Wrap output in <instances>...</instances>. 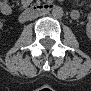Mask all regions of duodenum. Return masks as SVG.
I'll list each match as a JSON object with an SVG mask.
<instances>
[{"label": "duodenum", "instance_id": "410a0bca", "mask_svg": "<svg viewBox=\"0 0 91 91\" xmlns=\"http://www.w3.org/2000/svg\"><path fill=\"white\" fill-rule=\"evenodd\" d=\"M55 7L52 3H38L33 4L26 8L20 15L19 20L20 22H25L31 18H34L40 14H44L49 12Z\"/></svg>", "mask_w": 91, "mask_h": 91}]
</instances>
